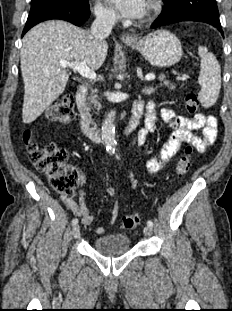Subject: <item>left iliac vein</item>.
Segmentation results:
<instances>
[{
    "label": "left iliac vein",
    "mask_w": 232,
    "mask_h": 311,
    "mask_svg": "<svg viewBox=\"0 0 232 311\" xmlns=\"http://www.w3.org/2000/svg\"><path fill=\"white\" fill-rule=\"evenodd\" d=\"M143 233L146 237L151 236L152 234V228L150 226H146L143 230Z\"/></svg>",
    "instance_id": "4c4485c4"
}]
</instances>
